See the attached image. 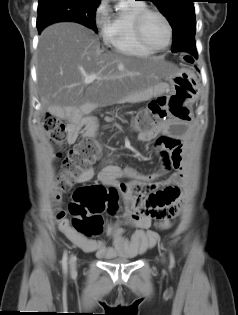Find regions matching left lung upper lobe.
Listing matches in <instances>:
<instances>
[{"mask_svg": "<svg viewBox=\"0 0 238 315\" xmlns=\"http://www.w3.org/2000/svg\"><path fill=\"white\" fill-rule=\"evenodd\" d=\"M152 1L169 21L173 37L195 42V9L193 0H149ZM173 38V40H174Z\"/></svg>", "mask_w": 238, "mask_h": 315, "instance_id": "1", "label": "left lung upper lobe"}]
</instances>
